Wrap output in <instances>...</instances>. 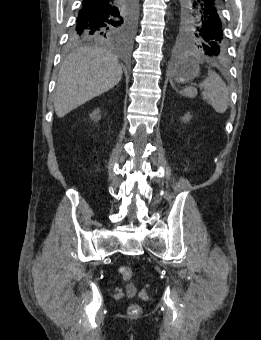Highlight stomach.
<instances>
[{
  "mask_svg": "<svg viewBox=\"0 0 261 340\" xmlns=\"http://www.w3.org/2000/svg\"><path fill=\"white\" fill-rule=\"evenodd\" d=\"M200 73L199 64L195 59H185L177 63L171 70V77L177 83L193 80Z\"/></svg>",
  "mask_w": 261,
  "mask_h": 340,
  "instance_id": "1",
  "label": "stomach"
}]
</instances>
